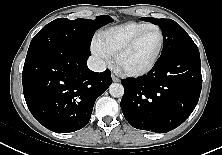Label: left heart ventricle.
<instances>
[{
    "label": "left heart ventricle",
    "mask_w": 222,
    "mask_h": 155,
    "mask_svg": "<svg viewBox=\"0 0 222 155\" xmlns=\"http://www.w3.org/2000/svg\"><path fill=\"white\" fill-rule=\"evenodd\" d=\"M160 45V34L157 30L147 32L120 61L126 70H140L154 59Z\"/></svg>",
    "instance_id": "b2bd125f"
}]
</instances>
